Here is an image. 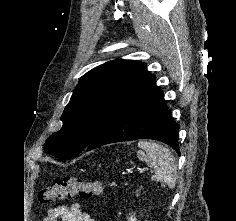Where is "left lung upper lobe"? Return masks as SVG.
<instances>
[{"label": "left lung upper lobe", "mask_w": 236, "mask_h": 221, "mask_svg": "<svg viewBox=\"0 0 236 221\" xmlns=\"http://www.w3.org/2000/svg\"><path fill=\"white\" fill-rule=\"evenodd\" d=\"M151 75L145 63L122 59L87 72L62 114L61 130L46 140L45 150L58 158L76 157L89 145L110 113Z\"/></svg>", "instance_id": "1"}]
</instances>
